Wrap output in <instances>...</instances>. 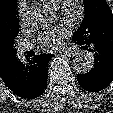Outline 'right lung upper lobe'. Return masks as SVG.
Masks as SVG:
<instances>
[{
	"label": "right lung upper lobe",
	"mask_w": 113,
	"mask_h": 113,
	"mask_svg": "<svg viewBox=\"0 0 113 113\" xmlns=\"http://www.w3.org/2000/svg\"><path fill=\"white\" fill-rule=\"evenodd\" d=\"M17 0H0V77L4 80L15 63L13 35L18 24L16 17Z\"/></svg>",
	"instance_id": "cb5924a9"
}]
</instances>
